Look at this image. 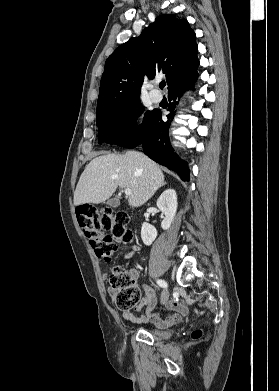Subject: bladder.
<instances>
[{"mask_svg":"<svg viewBox=\"0 0 279 391\" xmlns=\"http://www.w3.org/2000/svg\"><path fill=\"white\" fill-rule=\"evenodd\" d=\"M148 333L156 339H166L169 337L170 333L167 331L159 330V329H152L149 330Z\"/></svg>","mask_w":279,"mask_h":391,"instance_id":"31cf9c89","label":"bladder"}]
</instances>
